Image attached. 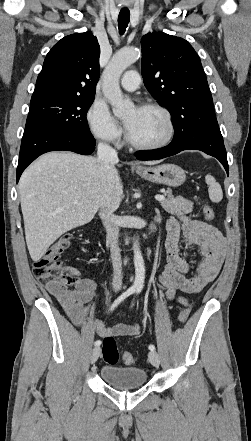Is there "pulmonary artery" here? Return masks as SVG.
<instances>
[{
    "mask_svg": "<svg viewBox=\"0 0 251 441\" xmlns=\"http://www.w3.org/2000/svg\"><path fill=\"white\" fill-rule=\"evenodd\" d=\"M140 84V76L136 71L126 72L121 79V86L127 91H134Z\"/></svg>",
    "mask_w": 251,
    "mask_h": 441,
    "instance_id": "e3ab8cb5",
    "label": "pulmonary artery"
}]
</instances>
